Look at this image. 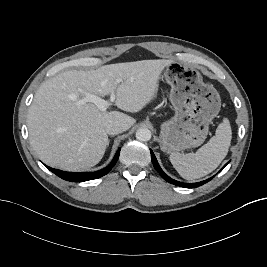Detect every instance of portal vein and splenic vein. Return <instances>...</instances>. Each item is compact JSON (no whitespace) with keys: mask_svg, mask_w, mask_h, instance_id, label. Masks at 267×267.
Wrapping results in <instances>:
<instances>
[{"mask_svg":"<svg viewBox=\"0 0 267 267\" xmlns=\"http://www.w3.org/2000/svg\"><path fill=\"white\" fill-rule=\"evenodd\" d=\"M85 98L80 100V104H84V103H87V102H91L93 104H95L100 111L104 112L106 111V109L114 102L115 100V95H114V92L111 93V97H110V100L107 101V100H104V99H101L99 98L98 96L96 95H93V94H90V93H85Z\"/></svg>","mask_w":267,"mask_h":267,"instance_id":"obj_1","label":"portal vein and splenic vein"}]
</instances>
